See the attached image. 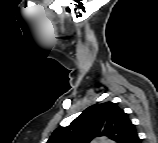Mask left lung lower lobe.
Listing matches in <instances>:
<instances>
[{
	"label": "left lung lower lobe",
	"instance_id": "left-lung-lower-lobe-1",
	"mask_svg": "<svg viewBox=\"0 0 158 143\" xmlns=\"http://www.w3.org/2000/svg\"><path fill=\"white\" fill-rule=\"evenodd\" d=\"M139 142V138H138V136L133 140V142L132 143H138Z\"/></svg>",
	"mask_w": 158,
	"mask_h": 143
}]
</instances>
